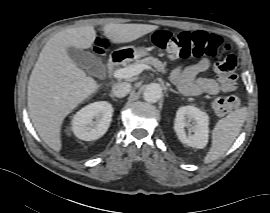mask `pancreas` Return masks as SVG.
Masks as SVG:
<instances>
[{
    "instance_id": "1",
    "label": "pancreas",
    "mask_w": 270,
    "mask_h": 213,
    "mask_svg": "<svg viewBox=\"0 0 270 213\" xmlns=\"http://www.w3.org/2000/svg\"><path fill=\"white\" fill-rule=\"evenodd\" d=\"M139 64H145V65H152L154 66L158 71L162 73H166L167 69L165 68L166 63L161 62L159 59L154 58L152 56L143 58V59H137L133 64H130L129 66L132 65H139Z\"/></svg>"
}]
</instances>
